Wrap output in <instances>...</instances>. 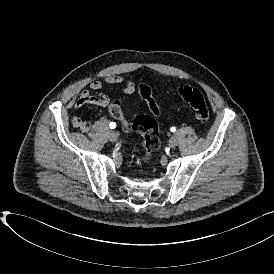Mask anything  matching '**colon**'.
Returning a JSON list of instances; mask_svg holds the SVG:
<instances>
[{
	"instance_id": "1",
	"label": "colon",
	"mask_w": 274,
	"mask_h": 274,
	"mask_svg": "<svg viewBox=\"0 0 274 274\" xmlns=\"http://www.w3.org/2000/svg\"><path fill=\"white\" fill-rule=\"evenodd\" d=\"M139 90L144 97L151 95V89L146 85H141ZM177 94L192 108L199 123L206 124L208 122L209 110L204 96L198 88L190 85L180 86ZM146 104L150 113L154 112L156 116L160 114V107L154 98L147 99ZM110 112L121 123L126 133L137 132L143 135L144 151L140 157V162L142 164L149 163L159 147L158 128L155 119H151L149 115H139L132 121H126L120 101H114L111 104Z\"/></svg>"
}]
</instances>
